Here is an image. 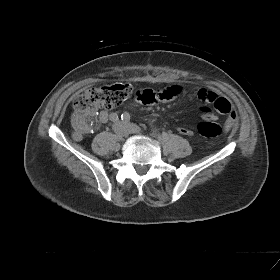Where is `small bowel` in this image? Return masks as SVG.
<instances>
[{
    "instance_id": "small-bowel-1",
    "label": "small bowel",
    "mask_w": 280,
    "mask_h": 280,
    "mask_svg": "<svg viewBox=\"0 0 280 280\" xmlns=\"http://www.w3.org/2000/svg\"><path fill=\"white\" fill-rule=\"evenodd\" d=\"M182 92V88L179 85L168 86L160 90L142 89L136 93V100L141 104L154 105L157 103H163L178 97ZM198 98L206 104H210L214 109L220 113L227 115L225 122V129L228 130L235 126L237 123L236 113L231 103L224 97L219 96L216 92L208 89H200L197 93ZM201 116L205 120H216L217 115L209 108H201ZM110 115L107 111H101L99 114V120L102 123L107 122ZM72 124L74 127L73 138L76 141H81L84 135L91 131V128L84 123L82 116L79 113H75L72 117ZM179 133L186 136H192L193 130L189 128H178Z\"/></svg>"
}]
</instances>
